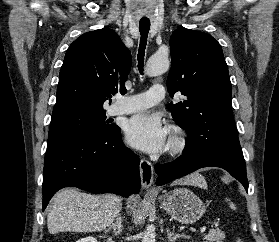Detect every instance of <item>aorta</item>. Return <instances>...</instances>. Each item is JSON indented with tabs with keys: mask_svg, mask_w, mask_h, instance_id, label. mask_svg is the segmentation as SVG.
<instances>
[{
	"mask_svg": "<svg viewBox=\"0 0 279 242\" xmlns=\"http://www.w3.org/2000/svg\"><path fill=\"white\" fill-rule=\"evenodd\" d=\"M169 65L167 56L156 53L147 61L145 71L149 76H157L166 72L169 69ZM142 242H155V232L152 228L148 227L144 231Z\"/></svg>",
	"mask_w": 279,
	"mask_h": 242,
	"instance_id": "762f6f07",
	"label": "aorta"
}]
</instances>
